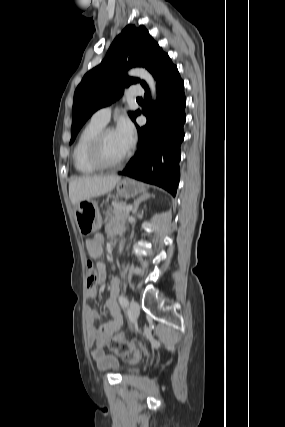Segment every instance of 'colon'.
Masks as SVG:
<instances>
[{
    "instance_id": "5ec220e1",
    "label": "colon",
    "mask_w": 285,
    "mask_h": 427,
    "mask_svg": "<svg viewBox=\"0 0 285 427\" xmlns=\"http://www.w3.org/2000/svg\"><path fill=\"white\" fill-rule=\"evenodd\" d=\"M97 281V271L91 261L87 262V279L88 288L95 286ZM109 347L118 355L123 356L129 363H135L139 358L137 349L130 344L121 334L116 335L109 341Z\"/></svg>"
}]
</instances>
